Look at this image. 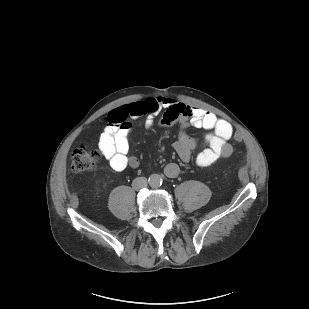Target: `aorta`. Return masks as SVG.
<instances>
[{
	"instance_id": "obj_1",
	"label": "aorta",
	"mask_w": 309,
	"mask_h": 309,
	"mask_svg": "<svg viewBox=\"0 0 309 309\" xmlns=\"http://www.w3.org/2000/svg\"><path fill=\"white\" fill-rule=\"evenodd\" d=\"M148 182L151 187L156 188L162 184V178L159 174H152L150 175Z\"/></svg>"
}]
</instances>
